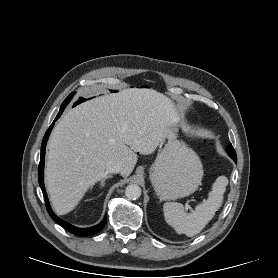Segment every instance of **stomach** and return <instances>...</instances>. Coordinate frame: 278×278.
Returning a JSON list of instances; mask_svg holds the SVG:
<instances>
[{"mask_svg":"<svg viewBox=\"0 0 278 278\" xmlns=\"http://www.w3.org/2000/svg\"><path fill=\"white\" fill-rule=\"evenodd\" d=\"M203 166L199 156L172 130L160 142L150 168L152 186L161 200H176L194 193L201 184Z\"/></svg>","mask_w":278,"mask_h":278,"instance_id":"obj_1","label":"stomach"}]
</instances>
